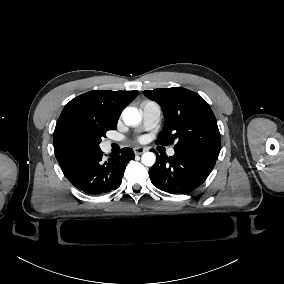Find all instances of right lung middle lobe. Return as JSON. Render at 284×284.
<instances>
[{
	"instance_id": "1",
	"label": "right lung middle lobe",
	"mask_w": 284,
	"mask_h": 284,
	"mask_svg": "<svg viewBox=\"0 0 284 284\" xmlns=\"http://www.w3.org/2000/svg\"><path fill=\"white\" fill-rule=\"evenodd\" d=\"M73 136L85 145L93 147L94 150H99L101 138L105 137L106 130L76 124L72 128Z\"/></svg>"
}]
</instances>
